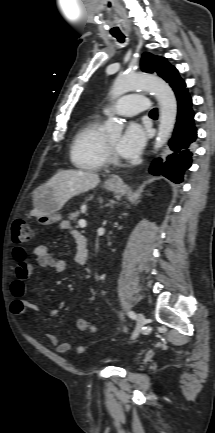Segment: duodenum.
Returning <instances> with one entry per match:
<instances>
[{
	"mask_svg": "<svg viewBox=\"0 0 215 433\" xmlns=\"http://www.w3.org/2000/svg\"><path fill=\"white\" fill-rule=\"evenodd\" d=\"M89 252L86 247V241L83 242L79 249V259L78 262L81 265H86L88 260Z\"/></svg>",
	"mask_w": 215,
	"mask_h": 433,
	"instance_id": "410a0bca",
	"label": "duodenum"
}]
</instances>
